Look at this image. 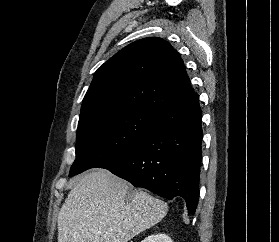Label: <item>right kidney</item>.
Returning <instances> with one entry per match:
<instances>
[{
	"mask_svg": "<svg viewBox=\"0 0 279 242\" xmlns=\"http://www.w3.org/2000/svg\"><path fill=\"white\" fill-rule=\"evenodd\" d=\"M141 242H173L172 239L166 234H156L146 237Z\"/></svg>",
	"mask_w": 279,
	"mask_h": 242,
	"instance_id": "right-kidney-1",
	"label": "right kidney"
}]
</instances>
